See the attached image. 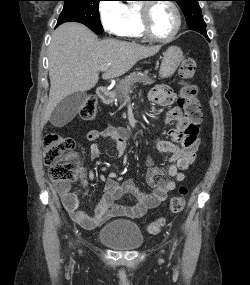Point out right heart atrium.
<instances>
[{
  "label": "right heart atrium",
  "mask_w": 250,
  "mask_h": 285,
  "mask_svg": "<svg viewBox=\"0 0 250 285\" xmlns=\"http://www.w3.org/2000/svg\"><path fill=\"white\" fill-rule=\"evenodd\" d=\"M99 16L108 33L121 36L128 20L127 5L122 0H104L99 5Z\"/></svg>",
  "instance_id": "obj_1"
}]
</instances>
